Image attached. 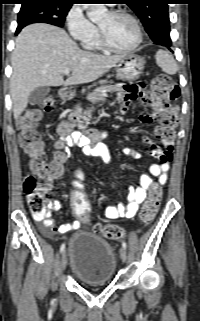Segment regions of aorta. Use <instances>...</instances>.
<instances>
[{
    "label": "aorta",
    "instance_id": "762f6f07",
    "mask_svg": "<svg viewBox=\"0 0 200 321\" xmlns=\"http://www.w3.org/2000/svg\"><path fill=\"white\" fill-rule=\"evenodd\" d=\"M87 9V15L93 22H97L103 18L107 13V8L104 4H85Z\"/></svg>",
    "mask_w": 200,
    "mask_h": 321
}]
</instances>
